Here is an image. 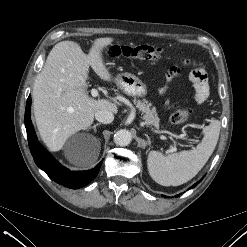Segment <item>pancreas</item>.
I'll return each mask as SVG.
<instances>
[{"label": "pancreas", "mask_w": 247, "mask_h": 247, "mask_svg": "<svg viewBox=\"0 0 247 247\" xmlns=\"http://www.w3.org/2000/svg\"><path fill=\"white\" fill-rule=\"evenodd\" d=\"M136 107L144 113L143 120L146 125L159 127V117L155 108H151V103L147 100H133Z\"/></svg>", "instance_id": "obj_1"}]
</instances>
